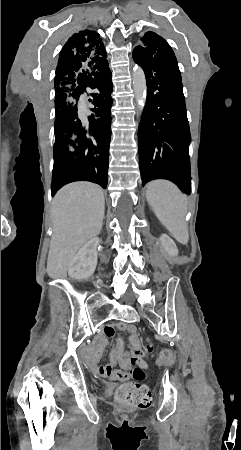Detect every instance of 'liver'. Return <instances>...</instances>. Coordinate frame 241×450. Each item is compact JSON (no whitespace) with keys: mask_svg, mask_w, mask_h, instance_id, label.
<instances>
[{"mask_svg":"<svg viewBox=\"0 0 241 450\" xmlns=\"http://www.w3.org/2000/svg\"><path fill=\"white\" fill-rule=\"evenodd\" d=\"M103 190L90 182L67 184L51 206L53 234L47 260L50 278H66L76 252L100 234L104 218Z\"/></svg>","mask_w":241,"mask_h":450,"instance_id":"1","label":"liver"}]
</instances>
